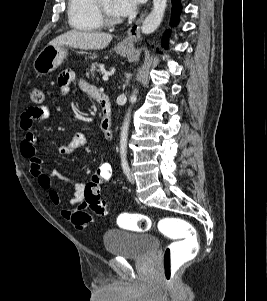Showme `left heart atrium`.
Listing matches in <instances>:
<instances>
[{
    "instance_id": "39dd6f15",
    "label": "left heart atrium",
    "mask_w": 267,
    "mask_h": 301,
    "mask_svg": "<svg viewBox=\"0 0 267 301\" xmlns=\"http://www.w3.org/2000/svg\"><path fill=\"white\" fill-rule=\"evenodd\" d=\"M140 0H112V11L117 17L134 15Z\"/></svg>"
}]
</instances>
